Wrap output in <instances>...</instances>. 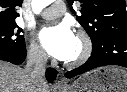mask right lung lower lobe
<instances>
[{"instance_id": "1", "label": "right lung lower lobe", "mask_w": 127, "mask_h": 92, "mask_svg": "<svg viewBox=\"0 0 127 92\" xmlns=\"http://www.w3.org/2000/svg\"><path fill=\"white\" fill-rule=\"evenodd\" d=\"M26 58V49H17L8 45H0V60L8 61L13 64H21ZM57 71L53 68H48L46 78L49 82L54 81Z\"/></svg>"}]
</instances>
